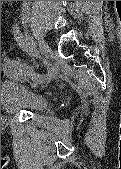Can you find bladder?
Here are the masks:
<instances>
[{"instance_id":"obj_1","label":"bladder","mask_w":121,"mask_h":169,"mask_svg":"<svg viewBox=\"0 0 121 169\" xmlns=\"http://www.w3.org/2000/svg\"><path fill=\"white\" fill-rule=\"evenodd\" d=\"M1 106L8 113L20 111L36 113L45 110L48 101L41 93L18 82L3 81L1 84Z\"/></svg>"}]
</instances>
